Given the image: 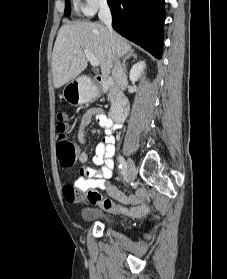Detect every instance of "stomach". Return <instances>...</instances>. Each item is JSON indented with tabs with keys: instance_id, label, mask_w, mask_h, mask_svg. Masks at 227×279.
Instances as JSON below:
<instances>
[{
	"instance_id": "obj_1",
	"label": "stomach",
	"mask_w": 227,
	"mask_h": 279,
	"mask_svg": "<svg viewBox=\"0 0 227 279\" xmlns=\"http://www.w3.org/2000/svg\"><path fill=\"white\" fill-rule=\"evenodd\" d=\"M63 98L72 105L86 103L96 96L95 87L80 79L70 81L63 89Z\"/></svg>"
}]
</instances>
